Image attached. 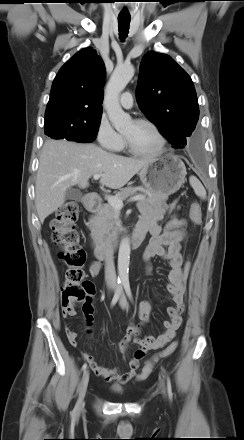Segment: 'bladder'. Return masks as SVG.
Listing matches in <instances>:
<instances>
[{
	"label": "bladder",
	"mask_w": 244,
	"mask_h": 440,
	"mask_svg": "<svg viewBox=\"0 0 244 440\" xmlns=\"http://www.w3.org/2000/svg\"><path fill=\"white\" fill-rule=\"evenodd\" d=\"M113 393H114V394H120L121 392H120V391H117V390H114Z\"/></svg>",
	"instance_id": "obj_1"
}]
</instances>
